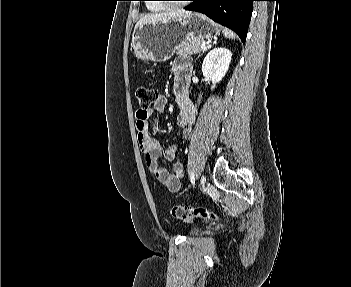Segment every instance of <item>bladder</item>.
<instances>
[{
	"label": "bladder",
	"instance_id": "31cf9c89",
	"mask_svg": "<svg viewBox=\"0 0 351 287\" xmlns=\"http://www.w3.org/2000/svg\"><path fill=\"white\" fill-rule=\"evenodd\" d=\"M200 230L198 228H192L190 231H189V234L190 235H196Z\"/></svg>",
	"mask_w": 351,
	"mask_h": 287
}]
</instances>
